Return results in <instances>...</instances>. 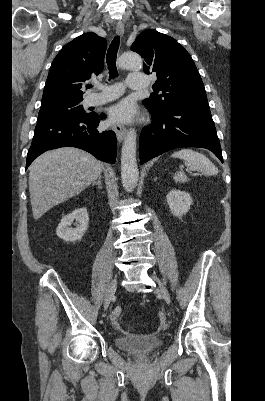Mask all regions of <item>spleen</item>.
Wrapping results in <instances>:
<instances>
[{"label": "spleen", "instance_id": "1", "mask_svg": "<svg viewBox=\"0 0 265 401\" xmlns=\"http://www.w3.org/2000/svg\"><path fill=\"white\" fill-rule=\"evenodd\" d=\"M173 158H183L187 168L189 170H198L202 172V174H218V168L205 156L202 152H196V150H192V148H182V150H176L171 154ZM175 182H187L189 178H187L185 172H175L173 176Z\"/></svg>", "mask_w": 265, "mask_h": 401}]
</instances>
